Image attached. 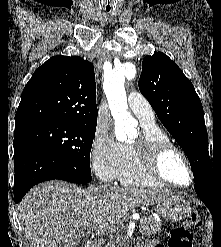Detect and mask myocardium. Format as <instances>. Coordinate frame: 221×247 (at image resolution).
<instances>
[{
  "label": "myocardium",
  "mask_w": 221,
  "mask_h": 247,
  "mask_svg": "<svg viewBox=\"0 0 221 247\" xmlns=\"http://www.w3.org/2000/svg\"><path fill=\"white\" fill-rule=\"evenodd\" d=\"M143 163L148 174L158 182L175 188H186L194 181V172L186 154L170 140L151 138L147 133H143L136 142L130 145ZM175 153L181 157L189 173L187 184H178L168 179L162 171V160L164 156Z\"/></svg>",
  "instance_id": "obj_1"
}]
</instances>
